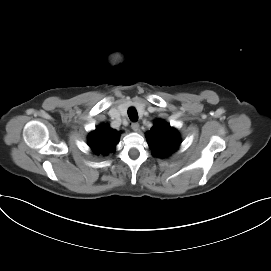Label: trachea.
<instances>
[{"label":"trachea","instance_id":"1","mask_svg":"<svg viewBox=\"0 0 271 271\" xmlns=\"http://www.w3.org/2000/svg\"><path fill=\"white\" fill-rule=\"evenodd\" d=\"M128 116L131 121L135 122L138 120V113L134 107L128 109Z\"/></svg>","mask_w":271,"mask_h":271}]
</instances>
